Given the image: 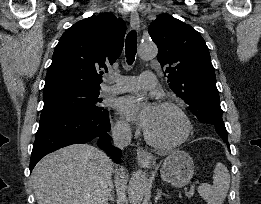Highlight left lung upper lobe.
I'll use <instances>...</instances> for the list:
<instances>
[{
	"label": "left lung upper lobe",
	"instance_id": "1",
	"mask_svg": "<svg viewBox=\"0 0 261 204\" xmlns=\"http://www.w3.org/2000/svg\"><path fill=\"white\" fill-rule=\"evenodd\" d=\"M148 32L158 47L157 59L165 69L169 87L200 122L213 125L222 139L227 138L215 70L202 36L166 13L151 23Z\"/></svg>",
	"mask_w": 261,
	"mask_h": 204
}]
</instances>
